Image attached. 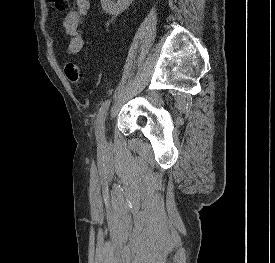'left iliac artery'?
<instances>
[{"instance_id":"left-iliac-artery-1","label":"left iliac artery","mask_w":275,"mask_h":263,"mask_svg":"<svg viewBox=\"0 0 275 263\" xmlns=\"http://www.w3.org/2000/svg\"><path fill=\"white\" fill-rule=\"evenodd\" d=\"M110 102H111V100L107 99L102 103V105L99 109L98 115H97V119H96L95 135H96V139L100 143L105 142L104 122H105V119H106L107 111H108L109 106H110Z\"/></svg>"}]
</instances>
